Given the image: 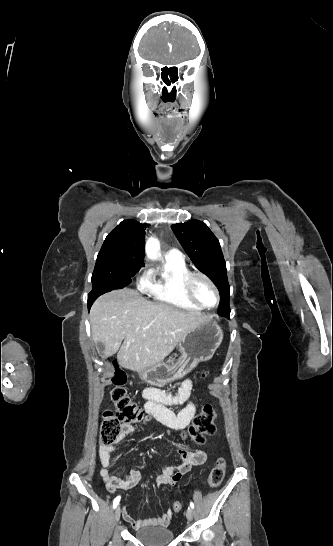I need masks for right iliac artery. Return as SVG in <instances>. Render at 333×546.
<instances>
[{"label": "right iliac artery", "instance_id": "right-iliac-artery-1", "mask_svg": "<svg viewBox=\"0 0 333 546\" xmlns=\"http://www.w3.org/2000/svg\"><path fill=\"white\" fill-rule=\"evenodd\" d=\"M120 499H121L120 496H117V497L114 499V501H113V508H116V507H117V505H118L119 502H120Z\"/></svg>", "mask_w": 333, "mask_h": 546}]
</instances>
